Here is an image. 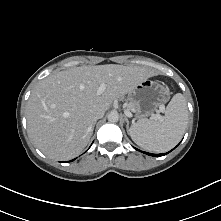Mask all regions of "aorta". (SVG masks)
<instances>
[{
    "label": "aorta",
    "mask_w": 221,
    "mask_h": 221,
    "mask_svg": "<svg viewBox=\"0 0 221 221\" xmlns=\"http://www.w3.org/2000/svg\"><path fill=\"white\" fill-rule=\"evenodd\" d=\"M119 120V115L117 112H110L108 115V121L114 123L117 122Z\"/></svg>",
    "instance_id": "obj_1"
}]
</instances>
